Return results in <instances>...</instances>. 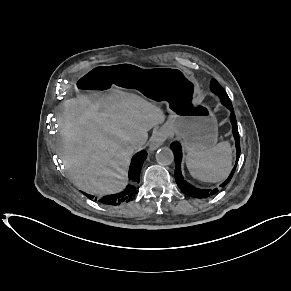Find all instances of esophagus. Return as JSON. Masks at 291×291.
I'll return each instance as SVG.
<instances>
[{
	"label": "esophagus",
	"mask_w": 291,
	"mask_h": 291,
	"mask_svg": "<svg viewBox=\"0 0 291 291\" xmlns=\"http://www.w3.org/2000/svg\"><path fill=\"white\" fill-rule=\"evenodd\" d=\"M167 138V133L163 130H159L151 140L149 150L154 151L159 148Z\"/></svg>",
	"instance_id": "1"
}]
</instances>
